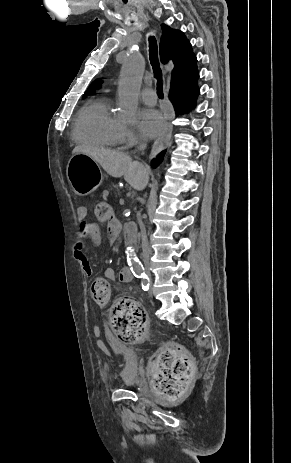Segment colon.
<instances>
[{
  "label": "colon",
  "mask_w": 291,
  "mask_h": 463,
  "mask_svg": "<svg viewBox=\"0 0 291 463\" xmlns=\"http://www.w3.org/2000/svg\"><path fill=\"white\" fill-rule=\"evenodd\" d=\"M93 217L100 221L112 218V205L98 202L93 206ZM93 301L106 306L111 301V286L108 280L97 278L91 285ZM110 323L116 336L125 342H138L148 333V319L143 308L132 299L119 298L110 309ZM154 389L168 400L182 396L188 389L193 362L185 349L170 345L164 348L150 367Z\"/></svg>",
  "instance_id": "colon-1"
}]
</instances>
